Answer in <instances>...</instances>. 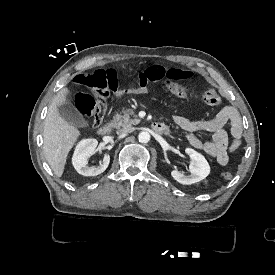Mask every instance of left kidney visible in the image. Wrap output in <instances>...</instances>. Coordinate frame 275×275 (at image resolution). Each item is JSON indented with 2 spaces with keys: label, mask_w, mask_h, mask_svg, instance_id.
Returning <instances> with one entry per match:
<instances>
[{
  "label": "left kidney",
  "mask_w": 275,
  "mask_h": 275,
  "mask_svg": "<svg viewBox=\"0 0 275 275\" xmlns=\"http://www.w3.org/2000/svg\"><path fill=\"white\" fill-rule=\"evenodd\" d=\"M185 152L191 159L189 166L191 175L186 176L178 170H173L171 172L172 177L184 185H190L205 179L210 173V166L205 157L192 148H186Z\"/></svg>",
  "instance_id": "5707ae66"
}]
</instances>
